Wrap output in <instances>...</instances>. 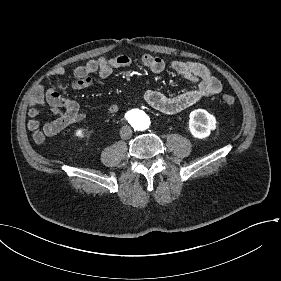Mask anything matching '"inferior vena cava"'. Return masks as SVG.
Segmentation results:
<instances>
[{"mask_svg":"<svg viewBox=\"0 0 281 281\" xmlns=\"http://www.w3.org/2000/svg\"><path fill=\"white\" fill-rule=\"evenodd\" d=\"M132 130L129 126H122L120 129V136L122 139H129L131 137Z\"/></svg>","mask_w":281,"mask_h":281,"instance_id":"inferior-vena-cava-1","label":"inferior vena cava"}]
</instances>
